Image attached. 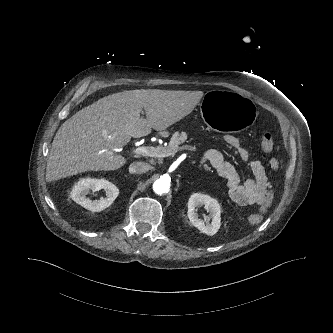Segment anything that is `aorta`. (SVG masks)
I'll use <instances>...</instances> for the list:
<instances>
[{"instance_id":"obj_1","label":"aorta","mask_w":333,"mask_h":333,"mask_svg":"<svg viewBox=\"0 0 333 333\" xmlns=\"http://www.w3.org/2000/svg\"><path fill=\"white\" fill-rule=\"evenodd\" d=\"M169 189H170V179L167 177L161 176L153 183V190L158 195L167 193Z\"/></svg>"}]
</instances>
